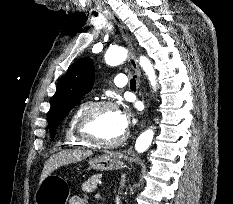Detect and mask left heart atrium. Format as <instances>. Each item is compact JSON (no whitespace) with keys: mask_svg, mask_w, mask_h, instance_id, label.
Returning <instances> with one entry per match:
<instances>
[{"mask_svg":"<svg viewBox=\"0 0 233 204\" xmlns=\"http://www.w3.org/2000/svg\"><path fill=\"white\" fill-rule=\"evenodd\" d=\"M117 118L121 129L125 131L128 128L130 122L128 113H126L125 111H117Z\"/></svg>","mask_w":233,"mask_h":204,"instance_id":"obj_1","label":"left heart atrium"}]
</instances>
